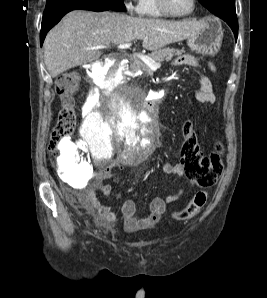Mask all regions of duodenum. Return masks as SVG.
Returning <instances> with one entry per match:
<instances>
[{"mask_svg": "<svg viewBox=\"0 0 267 298\" xmlns=\"http://www.w3.org/2000/svg\"><path fill=\"white\" fill-rule=\"evenodd\" d=\"M119 66L125 67L126 61H120ZM116 67L115 68V75L117 79H128V74L122 75V68ZM119 84L118 80H112L111 82H106V87H117ZM138 101L142 102V105H147V107H144V112H147V115H156V112H160V109H163V104H157L159 103V98H146V93H139L138 94ZM146 98V100H145Z\"/></svg>", "mask_w": 267, "mask_h": 298, "instance_id": "1", "label": "duodenum"}]
</instances>
